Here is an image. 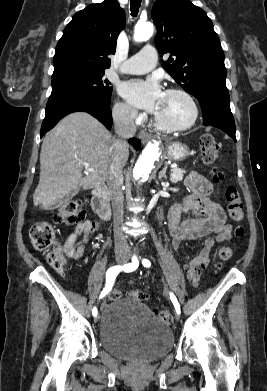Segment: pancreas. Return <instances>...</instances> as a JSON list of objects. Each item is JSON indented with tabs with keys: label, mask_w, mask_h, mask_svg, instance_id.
Instances as JSON below:
<instances>
[{
	"label": "pancreas",
	"mask_w": 267,
	"mask_h": 391,
	"mask_svg": "<svg viewBox=\"0 0 267 391\" xmlns=\"http://www.w3.org/2000/svg\"><path fill=\"white\" fill-rule=\"evenodd\" d=\"M172 173L170 175V180L172 183H177L183 179L184 174L186 173L185 170L180 169L178 167H174L172 170Z\"/></svg>",
	"instance_id": "obj_1"
}]
</instances>
